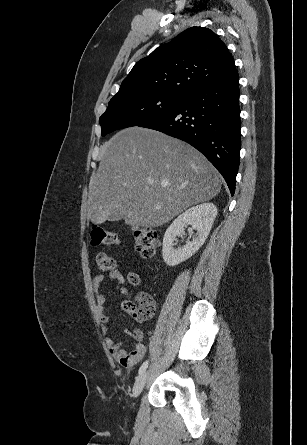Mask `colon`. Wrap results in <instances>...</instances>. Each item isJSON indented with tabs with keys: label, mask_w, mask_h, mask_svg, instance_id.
I'll return each instance as SVG.
<instances>
[{
	"label": "colon",
	"mask_w": 307,
	"mask_h": 445,
	"mask_svg": "<svg viewBox=\"0 0 307 445\" xmlns=\"http://www.w3.org/2000/svg\"><path fill=\"white\" fill-rule=\"evenodd\" d=\"M133 236L135 249L143 258L149 259L156 254L160 242L156 231L146 227H136L133 230ZM91 244L93 246L100 244L119 245L120 238L115 232L95 225L91 230ZM96 263L98 268L104 272H109L116 267L115 260L106 252L97 253ZM138 280L136 275H130L128 278L131 284H136ZM124 308L138 322L150 319L155 312L154 302L147 294L138 295L136 302H125Z\"/></svg>",
	"instance_id": "1"
}]
</instances>
